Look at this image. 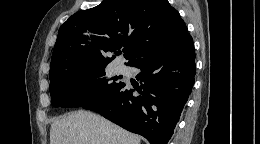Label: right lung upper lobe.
I'll return each mask as SVG.
<instances>
[{
    "label": "right lung upper lobe",
    "mask_w": 260,
    "mask_h": 144,
    "mask_svg": "<svg viewBox=\"0 0 260 144\" xmlns=\"http://www.w3.org/2000/svg\"><path fill=\"white\" fill-rule=\"evenodd\" d=\"M92 35L87 45L84 32ZM188 34L179 12L167 0H104L75 13L59 29L50 77L64 71L106 66L123 49L129 65L137 58L176 43Z\"/></svg>",
    "instance_id": "1"
}]
</instances>
